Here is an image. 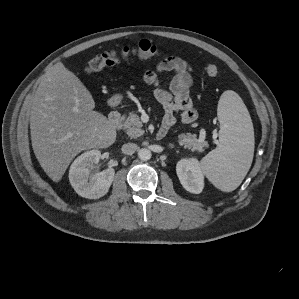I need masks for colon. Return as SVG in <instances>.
<instances>
[{"mask_svg": "<svg viewBox=\"0 0 299 299\" xmlns=\"http://www.w3.org/2000/svg\"><path fill=\"white\" fill-rule=\"evenodd\" d=\"M160 55L159 49L147 40L141 41L135 47H125L120 52H105L92 57L86 67L85 71L89 74L96 73L105 67L113 66L121 60L129 59L130 57H158ZM205 73L210 77L218 75L219 69L216 64L209 63L205 66Z\"/></svg>", "mask_w": 299, "mask_h": 299, "instance_id": "obj_1", "label": "colon"}]
</instances>
